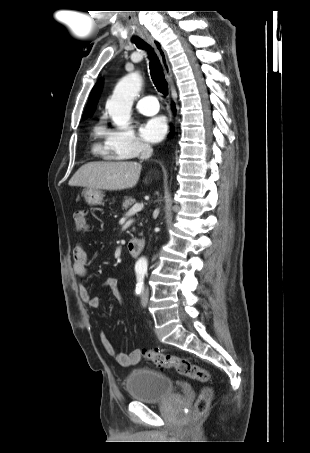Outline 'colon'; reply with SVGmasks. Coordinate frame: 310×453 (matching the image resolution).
<instances>
[{
    "label": "colon",
    "mask_w": 310,
    "mask_h": 453,
    "mask_svg": "<svg viewBox=\"0 0 310 453\" xmlns=\"http://www.w3.org/2000/svg\"><path fill=\"white\" fill-rule=\"evenodd\" d=\"M86 213L83 210H78L74 213V227L77 231L87 229ZM143 357L152 362L159 369H175L179 374L187 376L191 379L208 382L210 373L205 368L193 364L186 358L164 354L155 350H142ZM212 390L208 387L203 388L195 403L194 417L198 418L204 415L211 403Z\"/></svg>",
    "instance_id": "obj_1"
}]
</instances>
